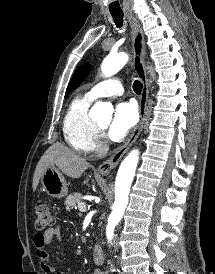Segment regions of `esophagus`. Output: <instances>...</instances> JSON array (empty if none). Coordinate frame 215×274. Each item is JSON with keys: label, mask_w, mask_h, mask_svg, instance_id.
Wrapping results in <instances>:
<instances>
[{"label": "esophagus", "mask_w": 215, "mask_h": 274, "mask_svg": "<svg viewBox=\"0 0 215 274\" xmlns=\"http://www.w3.org/2000/svg\"><path fill=\"white\" fill-rule=\"evenodd\" d=\"M127 17L133 29L134 67L138 77L143 84L140 97V120L127 141L120 148H118V150L109 159H107L98 167L97 171L102 175H108L118 165L124 154L136 141L140 132L142 131L146 115L149 84L144 63L146 54L145 39L142 29L140 28V25L138 24L136 18H134L131 14H128Z\"/></svg>", "instance_id": "1"}]
</instances>
